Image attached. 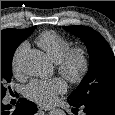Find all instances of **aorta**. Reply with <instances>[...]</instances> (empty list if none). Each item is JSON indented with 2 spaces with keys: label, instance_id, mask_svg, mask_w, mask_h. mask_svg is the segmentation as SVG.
Wrapping results in <instances>:
<instances>
[{
  "label": "aorta",
  "instance_id": "aorta-1",
  "mask_svg": "<svg viewBox=\"0 0 115 115\" xmlns=\"http://www.w3.org/2000/svg\"><path fill=\"white\" fill-rule=\"evenodd\" d=\"M22 69L31 76L42 77L48 74L49 63L46 55L39 50H30L23 54L21 58ZM48 115H66L58 108L52 109Z\"/></svg>",
  "mask_w": 115,
  "mask_h": 115
}]
</instances>
